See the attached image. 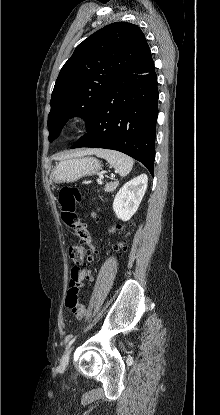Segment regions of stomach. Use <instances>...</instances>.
Masks as SVG:
<instances>
[{"label":"stomach","mask_w":220,"mask_h":415,"mask_svg":"<svg viewBox=\"0 0 220 415\" xmlns=\"http://www.w3.org/2000/svg\"><path fill=\"white\" fill-rule=\"evenodd\" d=\"M101 169L100 162L93 157H76L61 161L52 172L56 183L73 182L85 176H92Z\"/></svg>","instance_id":"stomach-1"}]
</instances>
